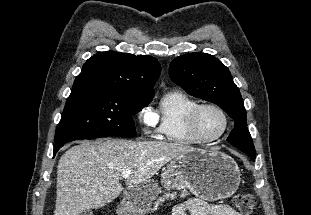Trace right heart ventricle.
Returning <instances> with one entry per match:
<instances>
[{
	"label": "right heart ventricle",
	"instance_id": "right-heart-ventricle-1",
	"mask_svg": "<svg viewBox=\"0 0 311 215\" xmlns=\"http://www.w3.org/2000/svg\"><path fill=\"white\" fill-rule=\"evenodd\" d=\"M198 103L179 90L163 95L158 110L154 113L159 122V133L167 141L178 144H197L187 128V116Z\"/></svg>",
	"mask_w": 311,
	"mask_h": 215
}]
</instances>
